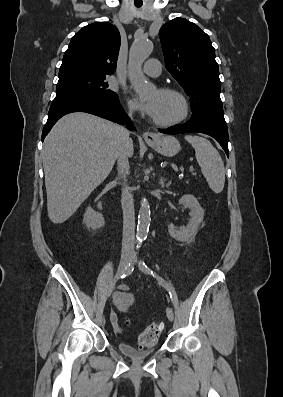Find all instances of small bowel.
<instances>
[{
    "mask_svg": "<svg viewBox=\"0 0 283 397\" xmlns=\"http://www.w3.org/2000/svg\"><path fill=\"white\" fill-rule=\"evenodd\" d=\"M127 285H121L120 290L115 292L113 295V303L118 310L124 313H130L132 307L136 303V298L133 294L128 292ZM110 321L112 326L117 333L123 331L122 327L118 323L117 315L114 311L110 313Z\"/></svg>",
    "mask_w": 283,
    "mask_h": 397,
    "instance_id": "c3829d8e",
    "label": "small bowel"
}]
</instances>
